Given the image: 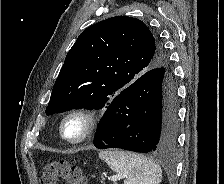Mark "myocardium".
<instances>
[{
    "instance_id": "1",
    "label": "myocardium",
    "mask_w": 224,
    "mask_h": 184,
    "mask_svg": "<svg viewBox=\"0 0 224 184\" xmlns=\"http://www.w3.org/2000/svg\"><path fill=\"white\" fill-rule=\"evenodd\" d=\"M77 118L82 121L83 130L79 137L75 139L68 138L64 133V127L66 123ZM98 124V117L95 111L88 108H75L67 112L62 118L59 125V133L61 138L68 144L77 145L88 140L94 133L96 126Z\"/></svg>"
}]
</instances>
